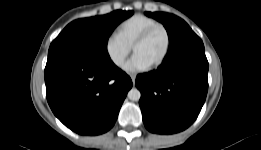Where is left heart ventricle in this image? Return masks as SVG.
<instances>
[{"mask_svg": "<svg viewBox=\"0 0 261 150\" xmlns=\"http://www.w3.org/2000/svg\"><path fill=\"white\" fill-rule=\"evenodd\" d=\"M165 47V34L161 29H158L135 49L134 54L140 55L151 66L163 55Z\"/></svg>", "mask_w": 261, "mask_h": 150, "instance_id": "obj_1", "label": "left heart ventricle"}]
</instances>
